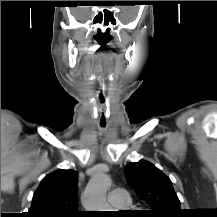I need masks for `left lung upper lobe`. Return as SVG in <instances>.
<instances>
[{
    "label": "left lung upper lobe",
    "instance_id": "obj_1",
    "mask_svg": "<svg viewBox=\"0 0 217 217\" xmlns=\"http://www.w3.org/2000/svg\"><path fill=\"white\" fill-rule=\"evenodd\" d=\"M128 184L153 210L151 217H181L180 201L171 180L147 161L130 163L125 167Z\"/></svg>",
    "mask_w": 217,
    "mask_h": 217
}]
</instances>
